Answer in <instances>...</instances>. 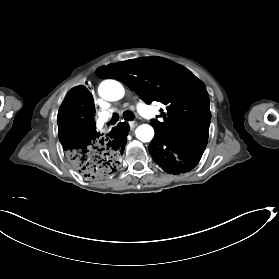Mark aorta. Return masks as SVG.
<instances>
[{"label":"aorta","instance_id":"1","mask_svg":"<svg viewBox=\"0 0 279 279\" xmlns=\"http://www.w3.org/2000/svg\"><path fill=\"white\" fill-rule=\"evenodd\" d=\"M98 92L100 97L107 101H117L125 94L124 87L113 79L104 80L99 85ZM135 133L136 137L142 142H149L154 137V129L148 124L138 126Z\"/></svg>","mask_w":279,"mask_h":279}]
</instances>
